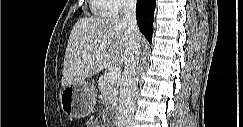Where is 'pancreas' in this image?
I'll return each instance as SVG.
<instances>
[{
	"label": "pancreas",
	"instance_id": "pancreas-1",
	"mask_svg": "<svg viewBox=\"0 0 243 127\" xmlns=\"http://www.w3.org/2000/svg\"><path fill=\"white\" fill-rule=\"evenodd\" d=\"M98 88L106 110L115 109L118 102L119 81L108 80L107 74H104L98 80Z\"/></svg>",
	"mask_w": 243,
	"mask_h": 127
}]
</instances>
